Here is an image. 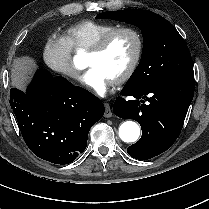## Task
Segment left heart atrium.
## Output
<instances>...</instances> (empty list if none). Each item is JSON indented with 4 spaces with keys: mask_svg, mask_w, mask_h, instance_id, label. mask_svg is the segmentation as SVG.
I'll return each mask as SVG.
<instances>
[{
    "mask_svg": "<svg viewBox=\"0 0 209 209\" xmlns=\"http://www.w3.org/2000/svg\"><path fill=\"white\" fill-rule=\"evenodd\" d=\"M82 83L99 96L107 93L108 87L115 83L97 67H90L81 76Z\"/></svg>",
    "mask_w": 209,
    "mask_h": 209,
    "instance_id": "obj_1",
    "label": "left heart atrium"
}]
</instances>
